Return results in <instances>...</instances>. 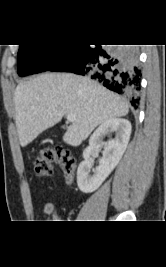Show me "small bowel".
Masks as SVG:
<instances>
[{"label": "small bowel", "instance_id": "c3829d8e", "mask_svg": "<svg viewBox=\"0 0 166 267\" xmlns=\"http://www.w3.org/2000/svg\"><path fill=\"white\" fill-rule=\"evenodd\" d=\"M67 182L71 184L72 179H67ZM43 212H44L45 219L47 220V222H55L59 219L58 207L52 202L45 203L43 207Z\"/></svg>", "mask_w": 166, "mask_h": 267}]
</instances>
